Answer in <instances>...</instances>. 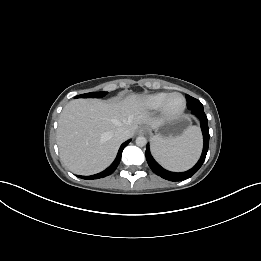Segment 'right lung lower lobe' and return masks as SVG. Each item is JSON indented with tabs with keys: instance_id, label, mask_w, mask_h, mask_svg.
<instances>
[{
	"instance_id": "right-lung-lower-lobe-1",
	"label": "right lung lower lobe",
	"mask_w": 261,
	"mask_h": 261,
	"mask_svg": "<svg viewBox=\"0 0 261 261\" xmlns=\"http://www.w3.org/2000/svg\"><path fill=\"white\" fill-rule=\"evenodd\" d=\"M129 142H130V140L126 141L125 143H123L121 145V147H120V149L118 151L116 159L114 160V162L107 169H105L104 171H102V172H100L98 174L92 175V176H78V177L82 178V179L91 180V179L103 178V177H106V176L112 174L116 170L117 166L120 163L123 149L129 144Z\"/></svg>"
}]
</instances>
